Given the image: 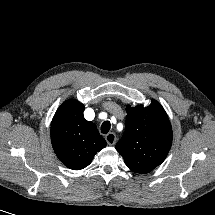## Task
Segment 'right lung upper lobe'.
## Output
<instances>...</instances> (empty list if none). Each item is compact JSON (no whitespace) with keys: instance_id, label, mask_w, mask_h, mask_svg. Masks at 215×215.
I'll return each mask as SVG.
<instances>
[{"instance_id":"cb5924a9","label":"right lung upper lobe","mask_w":215,"mask_h":215,"mask_svg":"<svg viewBox=\"0 0 215 215\" xmlns=\"http://www.w3.org/2000/svg\"><path fill=\"white\" fill-rule=\"evenodd\" d=\"M84 105L75 99L65 101L51 123V141L57 157L72 170L87 167L94 155L106 146L95 124L84 116Z\"/></svg>"}]
</instances>
